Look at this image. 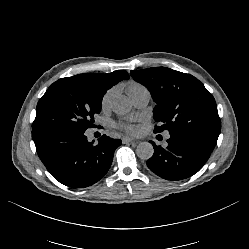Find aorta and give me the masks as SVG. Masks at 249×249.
Masks as SVG:
<instances>
[{
	"label": "aorta",
	"instance_id": "762f6f07",
	"mask_svg": "<svg viewBox=\"0 0 249 249\" xmlns=\"http://www.w3.org/2000/svg\"><path fill=\"white\" fill-rule=\"evenodd\" d=\"M110 105L113 112L119 115L128 113L132 108L129 99L123 95H117L113 97ZM136 154L140 159H150L154 154L152 144L149 142H141L136 148Z\"/></svg>",
	"mask_w": 249,
	"mask_h": 249
}]
</instances>
